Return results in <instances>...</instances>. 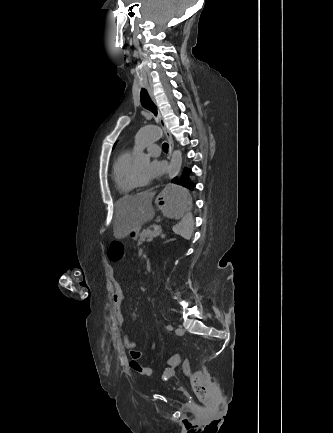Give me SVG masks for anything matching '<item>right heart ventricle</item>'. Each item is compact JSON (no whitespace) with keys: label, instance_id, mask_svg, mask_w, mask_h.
Wrapping results in <instances>:
<instances>
[{"label":"right heart ventricle","instance_id":"1","mask_svg":"<svg viewBox=\"0 0 333 433\" xmlns=\"http://www.w3.org/2000/svg\"><path fill=\"white\" fill-rule=\"evenodd\" d=\"M131 163V151L124 150L118 154L113 164V181L117 191L123 196L128 195L133 189L127 181V173Z\"/></svg>","mask_w":333,"mask_h":433}]
</instances>
